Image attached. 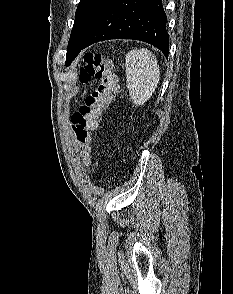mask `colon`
Listing matches in <instances>:
<instances>
[{"label":"colon","instance_id":"5ec220e1","mask_svg":"<svg viewBox=\"0 0 233 294\" xmlns=\"http://www.w3.org/2000/svg\"><path fill=\"white\" fill-rule=\"evenodd\" d=\"M93 78L98 80V86L73 114L71 125L86 165L90 164V135L97 128L102 112L118 89L117 76L113 72L111 60L101 53L88 52L84 55V65L79 79L81 83L86 84Z\"/></svg>","mask_w":233,"mask_h":294}]
</instances>
